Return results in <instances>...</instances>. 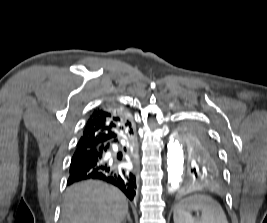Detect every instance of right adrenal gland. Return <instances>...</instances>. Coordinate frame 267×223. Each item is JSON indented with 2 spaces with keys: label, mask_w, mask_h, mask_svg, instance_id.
Here are the masks:
<instances>
[{
  "label": "right adrenal gland",
  "mask_w": 267,
  "mask_h": 223,
  "mask_svg": "<svg viewBox=\"0 0 267 223\" xmlns=\"http://www.w3.org/2000/svg\"><path fill=\"white\" fill-rule=\"evenodd\" d=\"M126 219L129 221V223H132L129 212L127 213L126 217L123 219V223H125Z\"/></svg>",
  "instance_id": "2a0ac1e0"
}]
</instances>
